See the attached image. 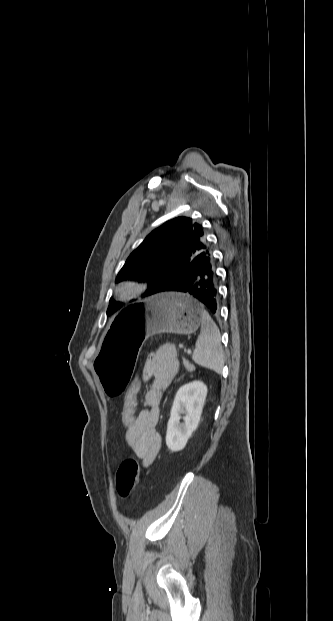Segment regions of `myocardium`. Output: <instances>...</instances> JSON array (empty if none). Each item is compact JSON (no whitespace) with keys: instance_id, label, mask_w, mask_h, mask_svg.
I'll return each instance as SVG.
<instances>
[{"instance_id":"myocardium-1","label":"myocardium","mask_w":333,"mask_h":621,"mask_svg":"<svg viewBox=\"0 0 333 621\" xmlns=\"http://www.w3.org/2000/svg\"><path fill=\"white\" fill-rule=\"evenodd\" d=\"M146 289V285L135 279L120 281L115 287V294L122 301L132 300L140 296Z\"/></svg>"}]
</instances>
